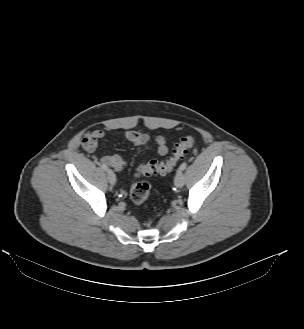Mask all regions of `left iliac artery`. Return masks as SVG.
I'll list each match as a JSON object with an SVG mask.
<instances>
[{"instance_id":"44dca946","label":"left iliac artery","mask_w":304,"mask_h":329,"mask_svg":"<svg viewBox=\"0 0 304 329\" xmlns=\"http://www.w3.org/2000/svg\"><path fill=\"white\" fill-rule=\"evenodd\" d=\"M187 167V163L186 162H183L181 165H180V169L181 170H185Z\"/></svg>"}]
</instances>
